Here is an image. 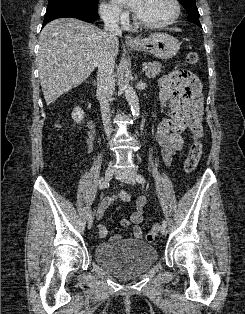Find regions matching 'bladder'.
I'll return each mask as SVG.
<instances>
[{"label":"bladder","instance_id":"1","mask_svg":"<svg viewBox=\"0 0 245 314\" xmlns=\"http://www.w3.org/2000/svg\"><path fill=\"white\" fill-rule=\"evenodd\" d=\"M93 255L106 270L121 277L141 274L158 259L156 248L139 239L98 244Z\"/></svg>","mask_w":245,"mask_h":314}]
</instances>
